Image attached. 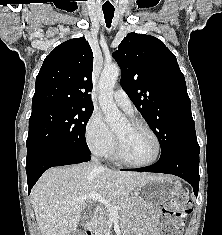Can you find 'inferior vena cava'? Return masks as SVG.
Here are the masks:
<instances>
[{"label":"inferior vena cava","mask_w":222,"mask_h":235,"mask_svg":"<svg viewBox=\"0 0 222 235\" xmlns=\"http://www.w3.org/2000/svg\"><path fill=\"white\" fill-rule=\"evenodd\" d=\"M92 160L95 162V163H98V160L96 158H92Z\"/></svg>","instance_id":"1"}]
</instances>
